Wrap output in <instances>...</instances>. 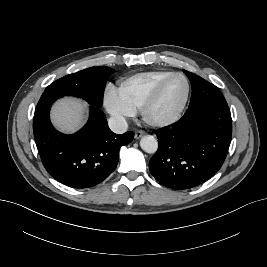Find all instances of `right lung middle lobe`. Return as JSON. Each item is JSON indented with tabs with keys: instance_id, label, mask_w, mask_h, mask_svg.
I'll use <instances>...</instances> for the list:
<instances>
[{
	"instance_id": "right-lung-middle-lobe-1",
	"label": "right lung middle lobe",
	"mask_w": 267,
	"mask_h": 267,
	"mask_svg": "<svg viewBox=\"0 0 267 267\" xmlns=\"http://www.w3.org/2000/svg\"><path fill=\"white\" fill-rule=\"evenodd\" d=\"M114 72L115 70L107 66L90 67L56 80L45 89L43 94L76 96L91 105L101 106L106 81Z\"/></svg>"
}]
</instances>
